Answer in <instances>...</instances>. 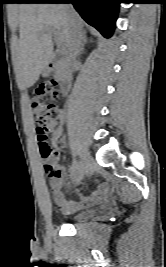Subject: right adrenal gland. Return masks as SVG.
Returning <instances> with one entry per match:
<instances>
[{
  "instance_id": "obj_1",
  "label": "right adrenal gland",
  "mask_w": 166,
  "mask_h": 267,
  "mask_svg": "<svg viewBox=\"0 0 166 267\" xmlns=\"http://www.w3.org/2000/svg\"><path fill=\"white\" fill-rule=\"evenodd\" d=\"M88 39L86 37V31H83V35H82V50L84 49V45L87 43Z\"/></svg>"
}]
</instances>
